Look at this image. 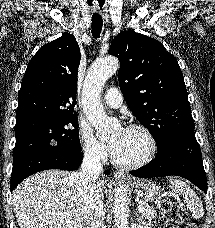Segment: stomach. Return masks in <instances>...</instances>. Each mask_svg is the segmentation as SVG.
I'll return each instance as SVG.
<instances>
[{"label": "stomach", "mask_w": 215, "mask_h": 228, "mask_svg": "<svg viewBox=\"0 0 215 228\" xmlns=\"http://www.w3.org/2000/svg\"><path fill=\"white\" fill-rule=\"evenodd\" d=\"M124 184V182H122ZM129 186H131L134 194L144 200V202H153L156 200L157 196H159L161 192V188L157 182H153V180H135V182H130Z\"/></svg>", "instance_id": "1"}]
</instances>
